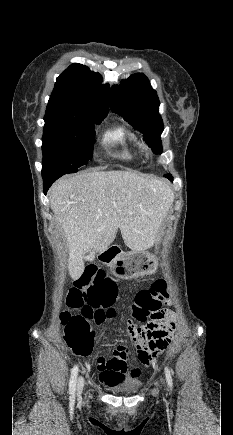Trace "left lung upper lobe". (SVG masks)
<instances>
[{"label":"left lung upper lobe","mask_w":233,"mask_h":435,"mask_svg":"<svg viewBox=\"0 0 233 435\" xmlns=\"http://www.w3.org/2000/svg\"><path fill=\"white\" fill-rule=\"evenodd\" d=\"M110 108L120 114L144 135L154 153H162L160 135L164 130L159 114V99L143 73H135L121 81V87L110 89Z\"/></svg>","instance_id":"left-lung-upper-lobe-1"}]
</instances>
